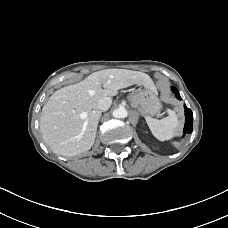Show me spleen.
Listing matches in <instances>:
<instances>
[{"instance_id": "obj_1", "label": "spleen", "mask_w": 228, "mask_h": 228, "mask_svg": "<svg viewBox=\"0 0 228 228\" xmlns=\"http://www.w3.org/2000/svg\"><path fill=\"white\" fill-rule=\"evenodd\" d=\"M146 122L152 134L160 141L173 138L179 125L178 117L174 111H170L163 119H155L147 116Z\"/></svg>"}]
</instances>
